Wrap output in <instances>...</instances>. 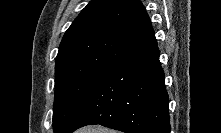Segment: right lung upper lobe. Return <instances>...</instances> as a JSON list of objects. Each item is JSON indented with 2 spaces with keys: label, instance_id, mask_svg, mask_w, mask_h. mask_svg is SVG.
Returning a JSON list of instances; mask_svg holds the SVG:
<instances>
[{
  "label": "right lung upper lobe",
  "instance_id": "right-lung-upper-lobe-1",
  "mask_svg": "<svg viewBox=\"0 0 221 133\" xmlns=\"http://www.w3.org/2000/svg\"><path fill=\"white\" fill-rule=\"evenodd\" d=\"M157 41L139 0H92L66 31L55 73L64 69L109 68Z\"/></svg>",
  "mask_w": 221,
  "mask_h": 133
}]
</instances>
